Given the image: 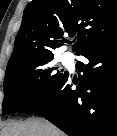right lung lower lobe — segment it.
<instances>
[{
  "mask_svg": "<svg viewBox=\"0 0 117 136\" xmlns=\"http://www.w3.org/2000/svg\"><path fill=\"white\" fill-rule=\"evenodd\" d=\"M77 55L88 59L76 64L78 83L68 74L18 112L45 117L69 136H117V31Z\"/></svg>",
  "mask_w": 117,
  "mask_h": 136,
  "instance_id": "98d812e1",
  "label": "right lung lower lobe"
}]
</instances>
